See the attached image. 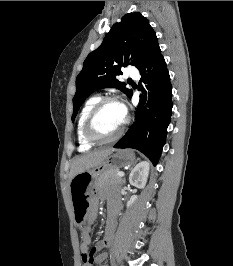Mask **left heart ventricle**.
<instances>
[{
	"mask_svg": "<svg viewBox=\"0 0 233 266\" xmlns=\"http://www.w3.org/2000/svg\"><path fill=\"white\" fill-rule=\"evenodd\" d=\"M123 122L120 104L110 102L99 111L94 122V131L100 137H110L117 132Z\"/></svg>",
	"mask_w": 233,
	"mask_h": 266,
	"instance_id": "1",
	"label": "left heart ventricle"
}]
</instances>
